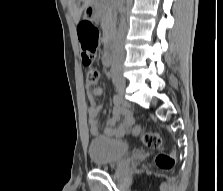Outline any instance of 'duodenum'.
Segmentation results:
<instances>
[{"mask_svg": "<svg viewBox=\"0 0 223 191\" xmlns=\"http://www.w3.org/2000/svg\"><path fill=\"white\" fill-rule=\"evenodd\" d=\"M85 13L88 17H93L96 14V10L93 6H88L85 10ZM111 52H112V40L110 37H107L105 40V56L107 58H110Z\"/></svg>", "mask_w": 223, "mask_h": 191, "instance_id": "410a0bca", "label": "duodenum"}]
</instances>
